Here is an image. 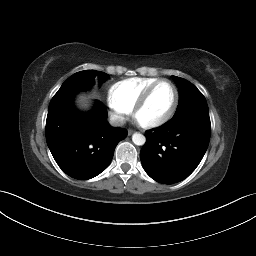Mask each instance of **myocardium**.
Returning <instances> with one entry per match:
<instances>
[{
  "mask_svg": "<svg viewBox=\"0 0 256 256\" xmlns=\"http://www.w3.org/2000/svg\"><path fill=\"white\" fill-rule=\"evenodd\" d=\"M162 83L170 84L174 90V99H173L171 107L166 112V114H164L162 117H160L156 120L149 121V122L140 121L138 119L139 112L145 106V104L147 103L148 99L150 98V96H151L152 92L155 90V88ZM178 102H179V91H178L177 86L172 81H170L168 79H159L156 82H154L153 84H151L149 87H147L144 90V92L141 94V96L138 98V100L136 101V103L133 107V116L142 127L155 128V127L163 125L164 123H166L167 121H169L172 118V116L174 115V113L177 109Z\"/></svg>",
  "mask_w": 256,
  "mask_h": 256,
  "instance_id": "1",
  "label": "myocardium"
}]
</instances>
